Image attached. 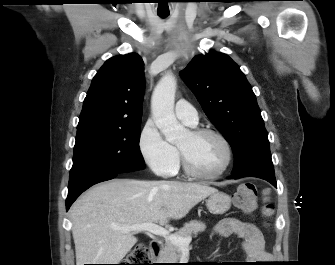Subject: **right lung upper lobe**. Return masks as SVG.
I'll list each match as a JSON object with an SVG mask.
<instances>
[{"label":"right lung upper lobe","instance_id":"cb5924a9","mask_svg":"<svg viewBox=\"0 0 335 265\" xmlns=\"http://www.w3.org/2000/svg\"><path fill=\"white\" fill-rule=\"evenodd\" d=\"M144 88L140 55L129 53L110 58L92 80L77 129L121 127L141 121Z\"/></svg>","mask_w":335,"mask_h":265}]
</instances>
